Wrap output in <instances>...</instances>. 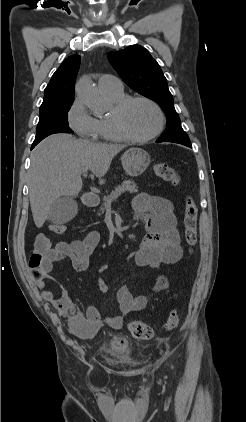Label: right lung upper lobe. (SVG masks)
Masks as SVG:
<instances>
[{
    "instance_id": "1",
    "label": "right lung upper lobe",
    "mask_w": 246,
    "mask_h": 422,
    "mask_svg": "<svg viewBox=\"0 0 246 422\" xmlns=\"http://www.w3.org/2000/svg\"><path fill=\"white\" fill-rule=\"evenodd\" d=\"M79 66V55H73L64 60L45 88L41 106L74 99V85Z\"/></svg>"
}]
</instances>
